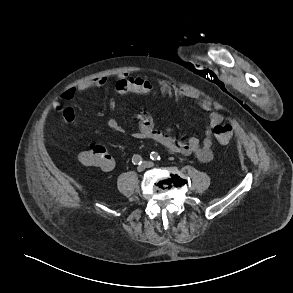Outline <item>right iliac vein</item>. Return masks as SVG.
<instances>
[{
    "instance_id": "1",
    "label": "right iliac vein",
    "mask_w": 293,
    "mask_h": 293,
    "mask_svg": "<svg viewBox=\"0 0 293 293\" xmlns=\"http://www.w3.org/2000/svg\"><path fill=\"white\" fill-rule=\"evenodd\" d=\"M138 171L139 172H142V171H144L145 170V166H144V164H142V165H140V166H138Z\"/></svg>"
}]
</instances>
